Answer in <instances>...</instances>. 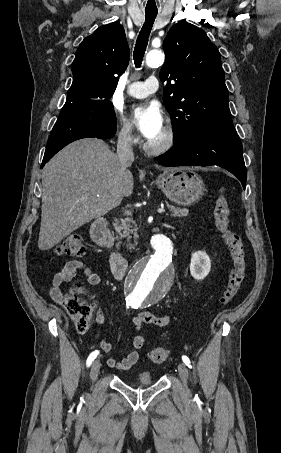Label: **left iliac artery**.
<instances>
[{
    "instance_id": "obj_1",
    "label": "left iliac artery",
    "mask_w": 281,
    "mask_h": 453,
    "mask_svg": "<svg viewBox=\"0 0 281 453\" xmlns=\"http://www.w3.org/2000/svg\"><path fill=\"white\" fill-rule=\"evenodd\" d=\"M133 308L138 309V306H135ZM182 360L186 364V366H188L189 368H192V366L190 365V360L187 356H182Z\"/></svg>"
}]
</instances>
